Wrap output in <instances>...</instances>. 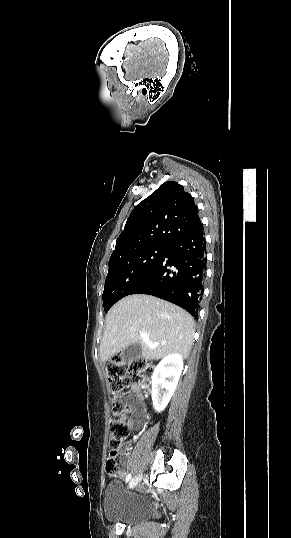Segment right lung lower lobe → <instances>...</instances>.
Listing matches in <instances>:
<instances>
[{"label":"right lung lower lobe","instance_id":"right-lung-lower-lobe-1","mask_svg":"<svg viewBox=\"0 0 291 538\" xmlns=\"http://www.w3.org/2000/svg\"><path fill=\"white\" fill-rule=\"evenodd\" d=\"M202 224L174 241L148 276L130 294H149L198 317L206 269Z\"/></svg>","mask_w":291,"mask_h":538}]
</instances>
